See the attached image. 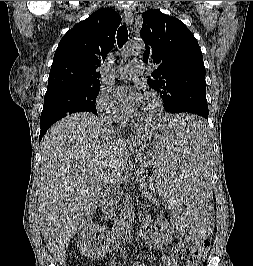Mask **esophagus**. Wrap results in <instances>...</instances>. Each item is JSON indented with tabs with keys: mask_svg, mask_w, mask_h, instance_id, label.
Listing matches in <instances>:
<instances>
[{
	"mask_svg": "<svg viewBox=\"0 0 253 266\" xmlns=\"http://www.w3.org/2000/svg\"><path fill=\"white\" fill-rule=\"evenodd\" d=\"M124 17H125V22L126 24L131 27V25L133 24L134 21V16L133 13L130 9H125L124 11Z\"/></svg>",
	"mask_w": 253,
	"mask_h": 266,
	"instance_id": "esophagus-1",
	"label": "esophagus"
}]
</instances>
